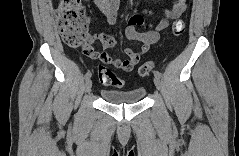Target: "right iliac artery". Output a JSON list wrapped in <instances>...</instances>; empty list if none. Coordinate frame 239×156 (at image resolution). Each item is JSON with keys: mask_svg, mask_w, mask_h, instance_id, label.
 Returning <instances> with one entry per match:
<instances>
[{"mask_svg": "<svg viewBox=\"0 0 239 156\" xmlns=\"http://www.w3.org/2000/svg\"><path fill=\"white\" fill-rule=\"evenodd\" d=\"M91 76H92L91 71H88V72L85 74V79L88 80V79H90Z\"/></svg>", "mask_w": 239, "mask_h": 156, "instance_id": "1", "label": "right iliac artery"}]
</instances>
